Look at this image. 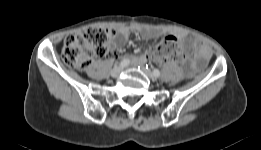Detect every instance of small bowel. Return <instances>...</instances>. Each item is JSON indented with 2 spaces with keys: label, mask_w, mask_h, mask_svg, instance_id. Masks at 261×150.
<instances>
[{
  "label": "small bowel",
  "mask_w": 261,
  "mask_h": 150,
  "mask_svg": "<svg viewBox=\"0 0 261 150\" xmlns=\"http://www.w3.org/2000/svg\"><path fill=\"white\" fill-rule=\"evenodd\" d=\"M131 30H134L137 32L142 38L144 39H151L156 37L157 32L153 29L149 28H129V27H120L116 30L113 41H112V47L114 49H119L122 47L124 41L128 40ZM181 46L186 49L193 52L194 57L191 59V61L185 66V71L188 75H191L195 73L197 70L202 68L208 58L210 57V51L209 49L202 44L193 43V42H186L183 39H180ZM117 57V54L115 51H107L105 53V58L108 61H113ZM148 56L143 54L138 57L133 58V62L135 64H143L147 61Z\"/></svg>",
  "instance_id": "small-bowel-1"
}]
</instances>
